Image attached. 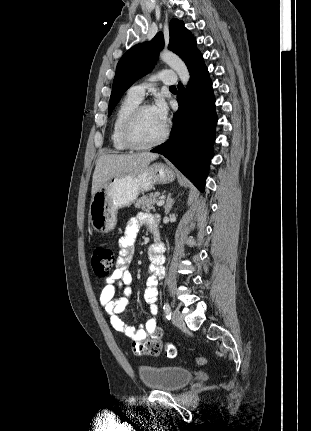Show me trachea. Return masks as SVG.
<instances>
[{
    "instance_id": "obj_1",
    "label": "trachea",
    "mask_w": 311,
    "mask_h": 431,
    "mask_svg": "<svg viewBox=\"0 0 311 431\" xmlns=\"http://www.w3.org/2000/svg\"><path fill=\"white\" fill-rule=\"evenodd\" d=\"M169 88H175L174 86H172V87H169Z\"/></svg>"
}]
</instances>
